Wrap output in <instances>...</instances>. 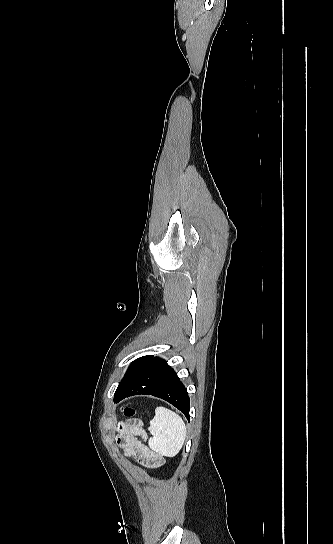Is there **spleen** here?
Listing matches in <instances>:
<instances>
[{"mask_svg": "<svg viewBox=\"0 0 333 544\" xmlns=\"http://www.w3.org/2000/svg\"><path fill=\"white\" fill-rule=\"evenodd\" d=\"M152 438L149 443L153 451L160 455L173 457L182 448L186 438V425L175 412L165 407H158L148 428Z\"/></svg>", "mask_w": 333, "mask_h": 544, "instance_id": "1", "label": "spleen"}]
</instances>
